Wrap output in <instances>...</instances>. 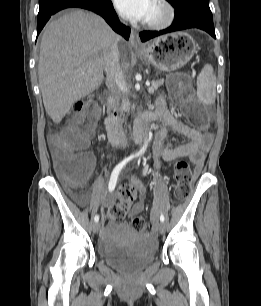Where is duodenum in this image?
Here are the masks:
<instances>
[{"label":"duodenum","instance_id":"obj_1","mask_svg":"<svg viewBox=\"0 0 261 306\" xmlns=\"http://www.w3.org/2000/svg\"><path fill=\"white\" fill-rule=\"evenodd\" d=\"M114 105V95L110 94L107 99V116L105 119V127L108 132L109 138L113 143L125 144V134L123 132L122 126L118 122L116 115L113 111ZM153 115L150 113L144 114L135 123V135L140 138L142 133V127L145 123L151 122L153 120Z\"/></svg>","mask_w":261,"mask_h":306}]
</instances>
